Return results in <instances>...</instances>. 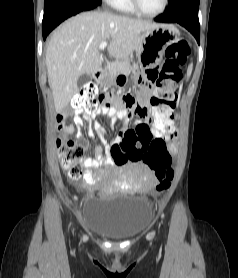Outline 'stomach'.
<instances>
[{"label": "stomach", "mask_w": 238, "mask_h": 278, "mask_svg": "<svg viewBox=\"0 0 238 278\" xmlns=\"http://www.w3.org/2000/svg\"><path fill=\"white\" fill-rule=\"evenodd\" d=\"M179 31L174 25L158 24V26L144 32L142 43L139 46L137 56L141 68L159 64L166 48L178 41ZM132 79V74H117L115 86H126ZM96 82L110 86L113 79L107 72H102Z\"/></svg>", "instance_id": "stomach-1"}]
</instances>
